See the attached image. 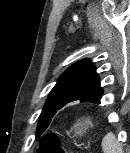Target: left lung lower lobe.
Masks as SVG:
<instances>
[{"label":"left lung lower lobe","mask_w":130,"mask_h":153,"mask_svg":"<svg viewBox=\"0 0 130 153\" xmlns=\"http://www.w3.org/2000/svg\"><path fill=\"white\" fill-rule=\"evenodd\" d=\"M72 101H76V100L67 101V103L72 102ZM81 102H83V101H81ZM67 103H66V104H67ZM66 104H65V105H66Z\"/></svg>","instance_id":"obj_1"}]
</instances>
